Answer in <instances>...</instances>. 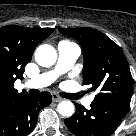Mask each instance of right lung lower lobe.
I'll use <instances>...</instances> for the list:
<instances>
[{
  "label": "right lung lower lobe",
  "instance_id": "right-lung-lower-lobe-1",
  "mask_svg": "<svg viewBox=\"0 0 136 136\" xmlns=\"http://www.w3.org/2000/svg\"><path fill=\"white\" fill-rule=\"evenodd\" d=\"M51 101V94L42 92L38 96L25 94L0 106V136H27L37 122L39 110Z\"/></svg>",
  "mask_w": 136,
  "mask_h": 136
}]
</instances>
